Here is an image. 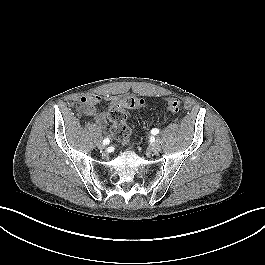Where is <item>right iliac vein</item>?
Returning a JSON list of instances; mask_svg holds the SVG:
<instances>
[{
	"label": "right iliac vein",
	"instance_id": "63e3f726",
	"mask_svg": "<svg viewBox=\"0 0 265 265\" xmlns=\"http://www.w3.org/2000/svg\"><path fill=\"white\" fill-rule=\"evenodd\" d=\"M97 146L99 149H104L106 147L102 142H98Z\"/></svg>",
	"mask_w": 265,
	"mask_h": 265
}]
</instances>
